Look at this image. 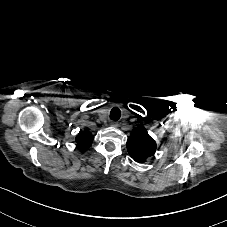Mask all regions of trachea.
Returning a JSON list of instances; mask_svg holds the SVG:
<instances>
[{"instance_id":"1","label":"trachea","mask_w":227,"mask_h":227,"mask_svg":"<svg viewBox=\"0 0 227 227\" xmlns=\"http://www.w3.org/2000/svg\"><path fill=\"white\" fill-rule=\"evenodd\" d=\"M121 117V111L118 107H114L111 109L109 118L114 121H118Z\"/></svg>"}]
</instances>
